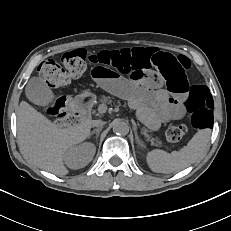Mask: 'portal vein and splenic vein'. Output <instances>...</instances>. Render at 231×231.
Returning a JSON list of instances; mask_svg holds the SVG:
<instances>
[{
    "instance_id": "portal-vein-and-splenic-vein-1",
    "label": "portal vein and splenic vein",
    "mask_w": 231,
    "mask_h": 231,
    "mask_svg": "<svg viewBox=\"0 0 231 231\" xmlns=\"http://www.w3.org/2000/svg\"><path fill=\"white\" fill-rule=\"evenodd\" d=\"M107 111V105L106 104H100L99 106H98V112L100 113V114H103V113H105Z\"/></svg>"
}]
</instances>
